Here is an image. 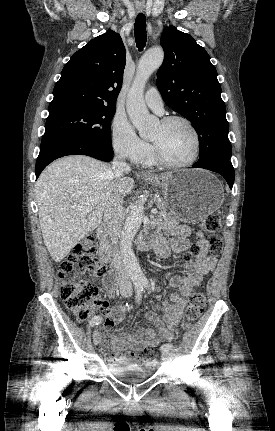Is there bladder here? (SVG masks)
I'll return each instance as SVG.
<instances>
[{
	"instance_id": "bladder-1",
	"label": "bladder",
	"mask_w": 275,
	"mask_h": 431,
	"mask_svg": "<svg viewBox=\"0 0 275 431\" xmlns=\"http://www.w3.org/2000/svg\"><path fill=\"white\" fill-rule=\"evenodd\" d=\"M108 370L111 375L117 379H122L124 377L147 378L151 375V372L131 363L109 362Z\"/></svg>"
}]
</instances>
